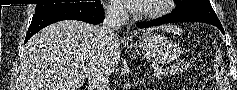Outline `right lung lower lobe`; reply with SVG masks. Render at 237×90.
Instances as JSON below:
<instances>
[{
	"instance_id": "right-lung-lower-lobe-1",
	"label": "right lung lower lobe",
	"mask_w": 237,
	"mask_h": 90,
	"mask_svg": "<svg viewBox=\"0 0 237 90\" xmlns=\"http://www.w3.org/2000/svg\"><path fill=\"white\" fill-rule=\"evenodd\" d=\"M103 19L104 10L100 1L89 5H70L41 13H35L24 43L42 28L58 21L79 20L97 25L101 23Z\"/></svg>"
}]
</instances>
